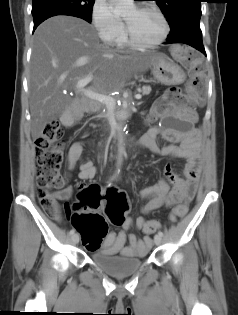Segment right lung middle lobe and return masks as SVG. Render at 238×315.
I'll list each match as a JSON object with an SVG mask.
<instances>
[{"label":"right lung middle lobe","instance_id":"dd1d6c3e","mask_svg":"<svg viewBox=\"0 0 238 315\" xmlns=\"http://www.w3.org/2000/svg\"><path fill=\"white\" fill-rule=\"evenodd\" d=\"M95 0H33L32 14L41 11L61 9L78 13L91 20Z\"/></svg>","mask_w":238,"mask_h":315}]
</instances>
